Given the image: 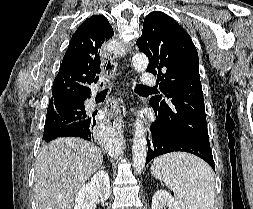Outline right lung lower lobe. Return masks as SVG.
I'll list each match as a JSON object with an SVG mask.
<instances>
[{"label":"right lung lower lobe","instance_id":"obj_1","mask_svg":"<svg viewBox=\"0 0 253 209\" xmlns=\"http://www.w3.org/2000/svg\"><path fill=\"white\" fill-rule=\"evenodd\" d=\"M74 105H79L84 108V102L70 106ZM95 123L96 120L94 117L88 116L87 119L65 125L57 130L44 132L43 141L49 142L59 137H80L88 141H94L97 136L96 129H94Z\"/></svg>","mask_w":253,"mask_h":209}]
</instances>
